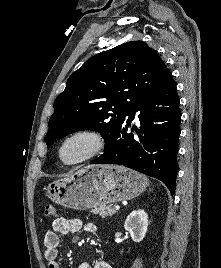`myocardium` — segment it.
Segmentation results:
<instances>
[{
  "label": "myocardium",
  "mask_w": 221,
  "mask_h": 268,
  "mask_svg": "<svg viewBox=\"0 0 221 268\" xmlns=\"http://www.w3.org/2000/svg\"><path fill=\"white\" fill-rule=\"evenodd\" d=\"M75 139L87 140L88 147L75 159L67 160L64 157V149ZM105 147L106 138L100 131L91 128L78 129L69 133L60 141L57 147V158L65 166H76L95 158L104 151Z\"/></svg>",
  "instance_id": "myocardium-1"
}]
</instances>
